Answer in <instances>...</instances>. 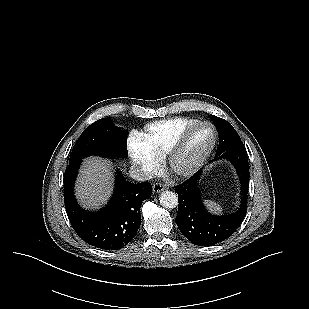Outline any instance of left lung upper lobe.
I'll list each match as a JSON object with an SVG mask.
<instances>
[{
  "label": "left lung upper lobe",
  "mask_w": 309,
  "mask_h": 309,
  "mask_svg": "<svg viewBox=\"0 0 309 309\" xmlns=\"http://www.w3.org/2000/svg\"><path fill=\"white\" fill-rule=\"evenodd\" d=\"M210 119L214 122V125L217 127L218 131H221L219 135V146L217 148V153H222L226 150L243 147V143L230 123L225 121L222 118L216 117L214 115L209 116Z\"/></svg>",
  "instance_id": "5c2ea615"
}]
</instances>
